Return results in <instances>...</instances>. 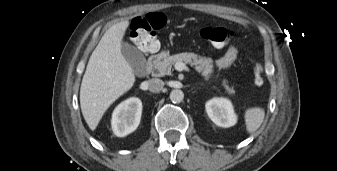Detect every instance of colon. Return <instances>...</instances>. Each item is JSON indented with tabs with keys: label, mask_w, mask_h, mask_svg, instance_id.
<instances>
[{
	"label": "colon",
	"mask_w": 337,
	"mask_h": 171,
	"mask_svg": "<svg viewBox=\"0 0 337 171\" xmlns=\"http://www.w3.org/2000/svg\"><path fill=\"white\" fill-rule=\"evenodd\" d=\"M165 25L162 14L151 13L138 16L131 23V34L136 46L145 51L157 48L156 33ZM201 37L215 46H223L233 39V33L224 27L205 26L201 29ZM253 82L256 86L264 83L263 68L259 62L253 64Z\"/></svg>",
	"instance_id": "5ec220e1"
}]
</instances>
